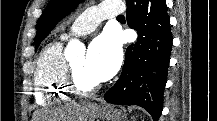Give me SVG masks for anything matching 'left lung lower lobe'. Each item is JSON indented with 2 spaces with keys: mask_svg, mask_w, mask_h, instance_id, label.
<instances>
[{
  "mask_svg": "<svg viewBox=\"0 0 217 121\" xmlns=\"http://www.w3.org/2000/svg\"><path fill=\"white\" fill-rule=\"evenodd\" d=\"M127 6V22L138 32V42L127 48L120 78L104 99L112 104L141 106L157 121L173 39L166 2L127 0Z\"/></svg>",
  "mask_w": 217,
  "mask_h": 121,
  "instance_id": "1",
  "label": "left lung lower lobe"
}]
</instances>
